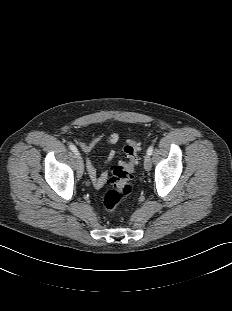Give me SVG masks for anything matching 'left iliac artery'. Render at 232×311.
<instances>
[{"instance_id":"44dca946","label":"left iliac artery","mask_w":232,"mask_h":311,"mask_svg":"<svg viewBox=\"0 0 232 311\" xmlns=\"http://www.w3.org/2000/svg\"><path fill=\"white\" fill-rule=\"evenodd\" d=\"M153 149H154V147H153V145H151V146L148 148V150H147V154H148V155H152Z\"/></svg>"}]
</instances>
